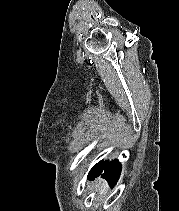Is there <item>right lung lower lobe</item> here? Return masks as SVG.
Listing matches in <instances>:
<instances>
[{"label": "right lung lower lobe", "mask_w": 179, "mask_h": 211, "mask_svg": "<svg viewBox=\"0 0 179 211\" xmlns=\"http://www.w3.org/2000/svg\"><path fill=\"white\" fill-rule=\"evenodd\" d=\"M121 173V164L115 159L110 162L100 161L89 172L88 179L93 180L95 177L101 175L108 180L111 187L115 186Z\"/></svg>", "instance_id": "obj_1"}]
</instances>
